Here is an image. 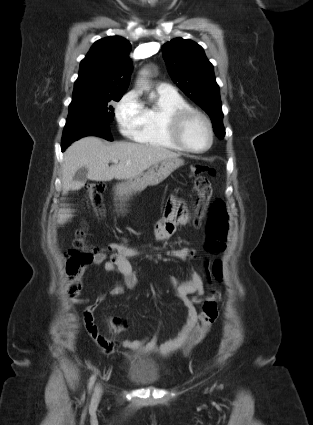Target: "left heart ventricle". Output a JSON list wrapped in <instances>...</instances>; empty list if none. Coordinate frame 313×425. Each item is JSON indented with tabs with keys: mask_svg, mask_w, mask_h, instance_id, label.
Returning <instances> with one entry per match:
<instances>
[{
	"mask_svg": "<svg viewBox=\"0 0 313 425\" xmlns=\"http://www.w3.org/2000/svg\"><path fill=\"white\" fill-rule=\"evenodd\" d=\"M183 137L186 143L194 148H204L209 142V134L204 121L198 117L191 118L186 124Z\"/></svg>",
	"mask_w": 313,
	"mask_h": 425,
	"instance_id": "b2bd125f",
	"label": "left heart ventricle"
}]
</instances>
